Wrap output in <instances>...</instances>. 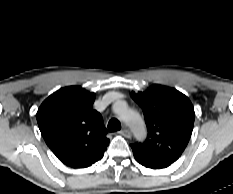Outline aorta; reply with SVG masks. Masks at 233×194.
Returning <instances> with one entry per match:
<instances>
[{"instance_id": "1", "label": "aorta", "mask_w": 233, "mask_h": 194, "mask_svg": "<svg viewBox=\"0 0 233 194\" xmlns=\"http://www.w3.org/2000/svg\"><path fill=\"white\" fill-rule=\"evenodd\" d=\"M114 109L119 114V116L130 126L136 136H145V125L138 113L129 109L127 104L123 101L117 102L114 105Z\"/></svg>"}]
</instances>
